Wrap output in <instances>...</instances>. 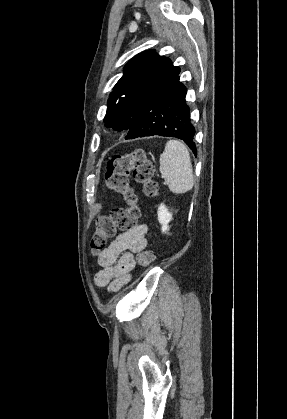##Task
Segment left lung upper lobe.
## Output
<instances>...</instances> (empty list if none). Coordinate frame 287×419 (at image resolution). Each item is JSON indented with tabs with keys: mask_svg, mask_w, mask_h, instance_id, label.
Wrapping results in <instances>:
<instances>
[{
	"mask_svg": "<svg viewBox=\"0 0 287 419\" xmlns=\"http://www.w3.org/2000/svg\"><path fill=\"white\" fill-rule=\"evenodd\" d=\"M180 68L154 50L144 51L125 66L108 99L105 126L128 130L139 108L178 79Z\"/></svg>",
	"mask_w": 287,
	"mask_h": 419,
	"instance_id": "left-lung-upper-lobe-1",
	"label": "left lung upper lobe"
}]
</instances>
